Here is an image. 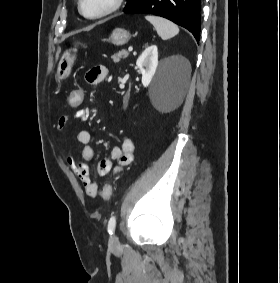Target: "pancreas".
<instances>
[{
	"label": "pancreas",
	"mask_w": 280,
	"mask_h": 283,
	"mask_svg": "<svg viewBox=\"0 0 280 283\" xmlns=\"http://www.w3.org/2000/svg\"><path fill=\"white\" fill-rule=\"evenodd\" d=\"M128 52L126 50H121L118 53H115L114 55L111 56L112 60L115 63H118L122 58L125 59L128 57Z\"/></svg>",
	"instance_id": "pancreas-1"
}]
</instances>
